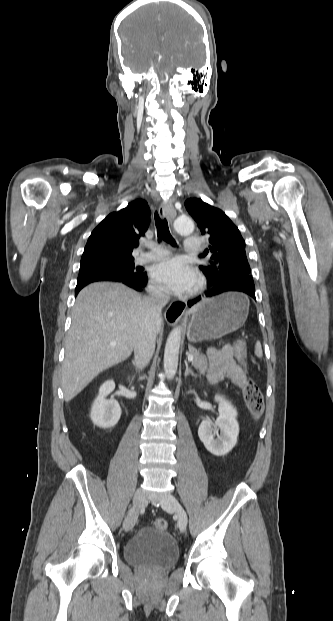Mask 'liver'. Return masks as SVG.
<instances>
[{
  "instance_id": "liver-1",
  "label": "liver",
  "mask_w": 333,
  "mask_h": 621,
  "mask_svg": "<svg viewBox=\"0 0 333 621\" xmlns=\"http://www.w3.org/2000/svg\"><path fill=\"white\" fill-rule=\"evenodd\" d=\"M199 304L189 312H194ZM145 317L144 298L122 284L98 282L79 292L62 364L66 402L77 396L99 373L131 355ZM161 328L162 325L158 332Z\"/></svg>"
}]
</instances>
